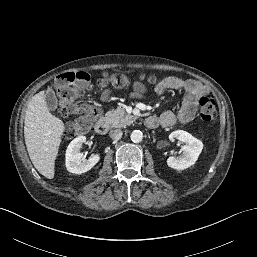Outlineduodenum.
Instances as JSON below:
<instances>
[{
  "label": "duodenum",
  "instance_id": "1",
  "mask_svg": "<svg viewBox=\"0 0 257 257\" xmlns=\"http://www.w3.org/2000/svg\"><path fill=\"white\" fill-rule=\"evenodd\" d=\"M145 125L149 128L157 126V119L154 117H147L144 121ZM109 129V124L105 119H101L96 125V132L98 134H105Z\"/></svg>",
  "mask_w": 257,
  "mask_h": 257
}]
</instances>
